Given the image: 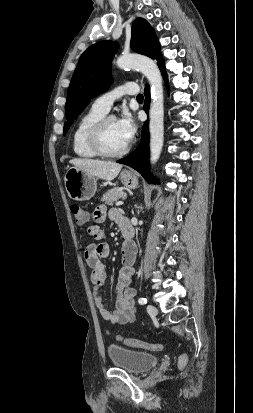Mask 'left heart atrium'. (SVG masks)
<instances>
[{
  "mask_svg": "<svg viewBox=\"0 0 253 413\" xmlns=\"http://www.w3.org/2000/svg\"><path fill=\"white\" fill-rule=\"evenodd\" d=\"M116 125L123 139L130 143L137 131V125L132 115L124 112L116 121Z\"/></svg>",
  "mask_w": 253,
  "mask_h": 413,
  "instance_id": "1",
  "label": "left heart atrium"
}]
</instances>
